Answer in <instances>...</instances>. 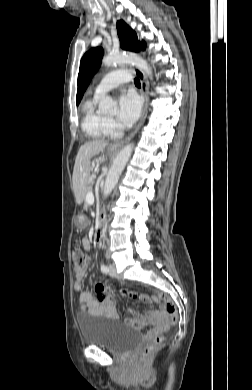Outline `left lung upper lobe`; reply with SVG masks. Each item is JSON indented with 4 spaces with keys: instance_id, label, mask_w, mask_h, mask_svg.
<instances>
[{
    "instance_id": "left-lung-upper-lobe-1",
    "label": "left lung upper lobe",
    "mask_w": 252,
    "mask_h": 390,
    "mask_svg": "<svg viewBox=\"0 0 252 390\" xmlns=\"http://www.w3.org/2000/svg\"><path fill=\"white\" fill-rule=\"evenodd\" d=\"M116 26L121 48L133 52L145 49V43L138 41L136 33L123 20L118 21ZM103 53V49L97 47L87 51L82 57L78 74L77 105L80 103L92 76L99 69Z\"/></svg>"
}]
</instances>
